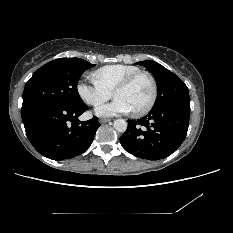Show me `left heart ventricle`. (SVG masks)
<instances>
[{
  "label": "left heart ventricle",
  "instance_id": "obj_1",
  "mask_svg": "<svg viewBox=\"0 0 233 233\" xmlns=\"http://www.w3.org/2000/svg\"><path fill=\"white\" fill-rule=\"evenodd\" d=\"M152 93L151 83L145 76L137 78L129 87L118 91L115 98L125 100L132 108L138 110L146 106Z\"/></svg>",
  "mask_w": 233,
  "mask_h": 233
}]
</instances>
